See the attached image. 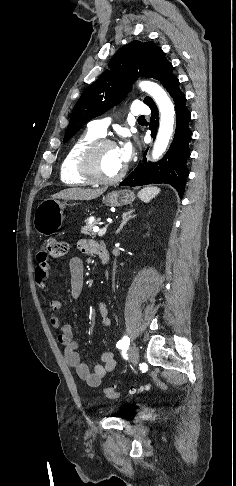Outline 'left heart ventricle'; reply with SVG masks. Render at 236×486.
I'll list each match as a JSON object with an SVG mask.
<instances>
[{
  "label": "left heart ventricle",
  "instance_id": "b2bd125f",
  "mask_svg": "<svg viewBox=\"0 0 236 486\" xmlns=\"http://www.w3.org/2000/svg\"><path fill=\"white\" fill-rule=\"evenodd\" d=\"M96 164L98 172L104 177L116 176L124 167L118 147L115 146L101 148L97 154Z\"/></svg>",
  "mask_w": 236,
  "mask_h": 486
}]
</instances>
